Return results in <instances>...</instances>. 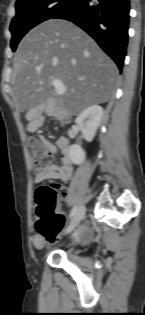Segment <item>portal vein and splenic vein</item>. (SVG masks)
I'll return each mask as SVG.
<instances>
[{
  "label": "portal vein and splenic vein",
  "instance_id": "portal-vein-and-splenic-vein-1",
  "mask_svg": "<svg viewBox=\"0 0 145 315\" xmlns=\"http://www.w3.org/2000/svg\"><path fill=\"white\" fill-rule=\"evenodd\" d=\"M54 88H55V92L57 95H63L66 92V88L64 86V84L60 81V80H53L52 82Z\"/></svg>",
  "mask_w": 145,
  "mask_h": 315
}]
</instances>
